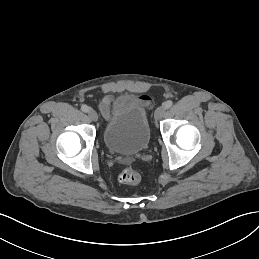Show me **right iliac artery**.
Listing matches in <instances>:
<instances>
[{"instance_id":"right-iliac-artery-1","label":"right iliac artery","mask_w":259,"mask_h":259,"mask_svg":"<svg viewBox=\"0 0 259 259\" xmlns=\"http://www.w3.org/2000/svg\"><path fill=\"white\" fill-rule=\"evenodd\" d=\"M81 110H82L83 112H88V111H89V107H88L87 105H82V106H81Z\"/></svg>"}]
</instances>
